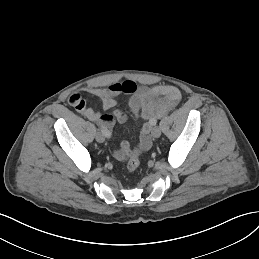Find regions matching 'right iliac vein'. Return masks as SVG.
I'll return each mask as SVG.
<instances>
[{"label":"right iliac vein","mask_w":259,"mask_h":259,"mask_svg":"<svg viewBox=\"0 0 259 259\" xmlns=\"http://www.w3.org/2000/svg\"><path fill=\"white\" fill-rule=\"evenodd\" d=\"M96 140H97V142H99V143H103V142L105 141V137H104V135H103L102 133L97 132V134H96Z\"/></svg>","instance_id":"right-iliac-vein-1"}]
</instances>
